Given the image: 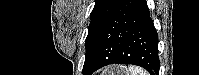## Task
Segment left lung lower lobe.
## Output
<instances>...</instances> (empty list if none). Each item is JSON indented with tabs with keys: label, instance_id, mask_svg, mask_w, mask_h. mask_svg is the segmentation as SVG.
<instances>
[{
	"label": "left lung lower lobe",
	"instance_id": "obj_1",
	"mask_svg": "<svg viewBox=\"0 0 199 75\" xmlns=\"http://www.w3.org/2000/svg\"><path fill=\"white\" fill-rule=\"evenodd\" d=\"M134 64L159 75L158 34L145 0H122L109 18L83 70L91 75L109 64Z\"/></svg>",
	"mask_w": 199,
	"mask_h": 75
}]
</instances>
